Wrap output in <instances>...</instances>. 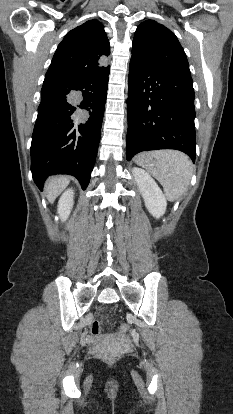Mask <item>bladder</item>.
Wrapping results in <instances>:
<instances>
[{"instance_id":"obj_1","label":"bladder","mask_w":233,"mask_h":414,"mask_svg":"<svg viewBox=\"0 0 233 414\" xmlns=\"http://www.w3.org/2000/svg\"><path fill=\"white\" fill-rule=\"evenodd\" d=\"M123 339L114 336H105L102 339V346L107 347L111 345L121 344Z\"/></svg>"}]
</instances>
